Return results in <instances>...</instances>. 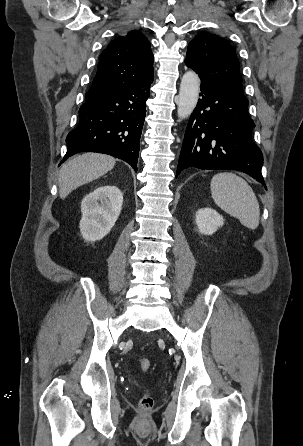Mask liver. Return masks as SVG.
Returning <instances> with one entry per match:
<instances>
[{
  "label": "liver",
  "instance_id": "obj_1",
  "mask_svg": "<svg viewBox=\"0 0 303 446\" xmlns=\"http://www.w3.org/2000/svg\"><path fill=\"white\" fill-rule=\"evenodd\" d=\"M116 160L105 154L84 153L67 161L59 172V196L65 199L77 187L113 169Z\"/></svg>",
  "mask_w": 303,
  "mask_h": 446
}]
</instances>
